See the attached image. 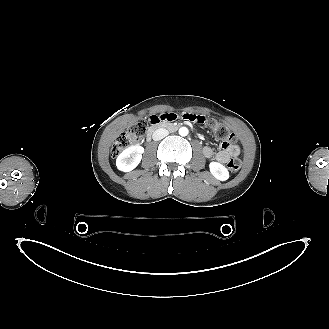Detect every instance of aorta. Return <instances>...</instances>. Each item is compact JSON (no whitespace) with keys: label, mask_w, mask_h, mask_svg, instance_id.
I'll return each instance as SVG.
<instances>
[{"label":"aorta","mask_w":329,"mask_h":329,"mask_svg":"<svg viewBox=\"0 0 329 329\" xmlns=\"http://www.w3.org/2000/svg\"><path fill=\"white\" fill-rule=\"evenodd\" d=\"M188 133H189V130H188V128H186V127H181V128L179 129V135H181V136H187Z\"/></svg>","instance_id":"762f6f07"}]
</instances>
